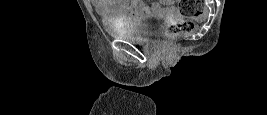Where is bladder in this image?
Here are the masks:
<instances>
[{
    "instance_id": "31cf9c89",
    "label": "bladder",
    "mask_w": 267,
    "mask_h": 115,
    "mask_svg": "<svg viewBox=\"0 0 267 115\" xmlns=\"http://www.w3.org/2000/svg\"><path fill=\"white\" fill-rule=\"evenodd\" d=\"M163 19V15L147 13L142 15L138 21L130 24L109 25L108 32L119 39L144 42L155 35Z\"/></svg>"
}]
</instances>
